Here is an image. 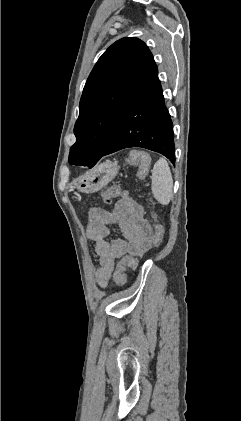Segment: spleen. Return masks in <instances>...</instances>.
<instances>
[{
    "mask_svg": "<svg viewBox=\"0 0 241 421\" xmlns=\"http://www.w3.org/2000/svg\"><path fill=\"white\" fill-rule=\"evenodd\" d=\"M152 193L162 205H168L173 196V178L170 167L164 158H160L152 169Z\"/></svg>",
    "mask_w": 241,
    "mask_h": 421,
    "instance_id": "obj_1",
    "label": "spleen"
}]
</instances>
